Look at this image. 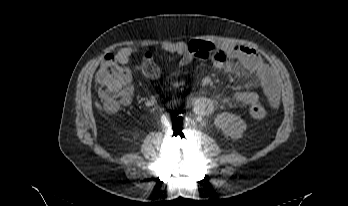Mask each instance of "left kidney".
Listing matches in <instances>:
<instances>
[{"mask_svg": "<svg viewBox=\"0 0 348 206\" xmlns=\"http://www.w3.org/2000/svg\"><path fill=\"white\" fill-rule=\"evenodd\" d=\"M214 124L221 129L224 135L233 139L241 138L247 128L243 119L228 112L218 114L214 120Z\"/></svg>", "mask_w": 348, "mask_h": 206, "instance_id": "left-kidney-1", "label": "left kidney"}]
</instances>
